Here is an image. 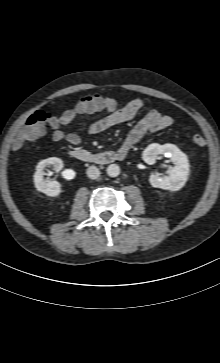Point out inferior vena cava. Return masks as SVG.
Masks as SVG:
<instances>
[{"mask_svg": "<svg viewBox=\"0 0 220 363\" xmlns=\"http://www.w3.org/2000/svg\"><path fill=\"white\" fill-rule=\"evenodd\" d=\"M86 173L90 179H97L100 175V171L96 166H90Z\"/></svg>", "mask_w": 220, "mask_h": 363, "instance_id": "obj_1", "label": "inferior vena cava"}]
</instances>
